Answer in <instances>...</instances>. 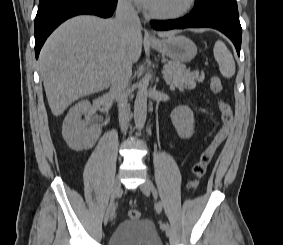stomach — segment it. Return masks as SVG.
Instances as JSON below:
<instances>
[{"label": "stomach", "mask_w": 283, "mask_h": 245, "mask_svg": "<svg viewBox=\"0 0 283 245\" xmlns=\"http://www.w3.org/2000/svg\"><path fill=\"white\" fill-rule=\"evenodd\" d=\"M151 47L177 63L191 61L197 54L195 43L185 36H170L150 43Z\"/></svg>", "instance_id": "1"}]
</instances>
